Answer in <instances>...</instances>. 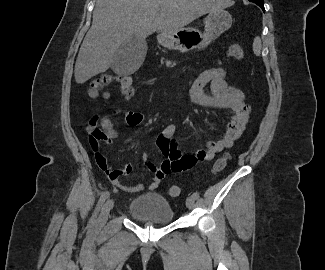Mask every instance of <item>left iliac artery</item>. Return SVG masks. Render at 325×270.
I'll use <instances>...</instances> for the list:
<instances>
[{"mask_svg":"<svg viewBox=\"0 0 325 270\" xmlns=\"http://www.w3.org/2000/svg\"><path fill=\"white\" fill-rule=\"evenodd\" d=\"M192 197L195 199V200H197V199H199V193L198 192H194L193 194H192Z\"/></svg>","mask_w":325,"mask_h":270,"instance_id":"obj_1","label":"left iliac artery"}]
</instances>
